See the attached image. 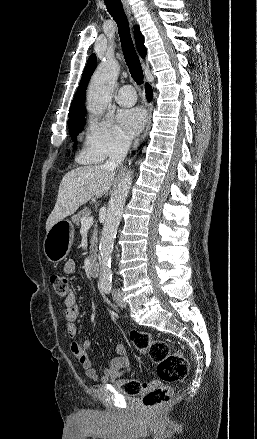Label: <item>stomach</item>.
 Masks as SVG:
<instances>
[{
    "instance_id": "stomach-1",
    "label": "stomach",
    "mask_w": 257,
    "mask_h": 439,
    "mask_svg": "<svg viewBox=\"0 0 257 439\" xmlns=\"http://www.w3.org/2000/svg\"><path fill=\"white\" fill-rule=\"evenodd\" d=\"M74 231V226L69 220H61L50 228L43 243L44 253L49 261L58 263L68 255Z\"/></svg>"
}]
</instances>
